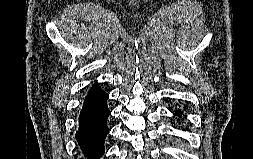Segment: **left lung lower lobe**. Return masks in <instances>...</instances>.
<instances>
[{"label":"left lung lower lobe","instance_id":"1","mask_svg":"<svg viewBox=\"0 0 253 159\" xmlns=\"http://www.w3.org/2000/svg\"><path fill=\"white\" fill-rule=\"evenodd\" d=\"M182 113L180 111L176 112V115H181Z\"/></svg>","mask_w":253,"mask_h":159}]
</instances>
